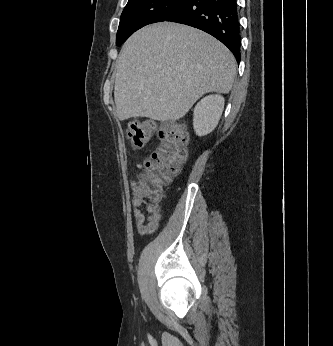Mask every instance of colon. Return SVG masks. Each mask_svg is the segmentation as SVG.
<instances>
[{"mask_svg": "<svg viewBox=\"0 0 333 346\" xmlns=\"http://www.w3.org/2000/svg\"><path fill=\"white\" fill-rule=\"evenodd\" d=\"M149 121H133L128 127V138L135 149L143 148L154 132ZM160 144L144 162L138 182V192L150 204H157L163 197V187L180 170L187 157L186 135L175 123L166 124L159 134Z\"/></svg>", "mask_w": 333, "mask_h": 346, "instance_id": "1", "label": "colon"}]
</instances>
